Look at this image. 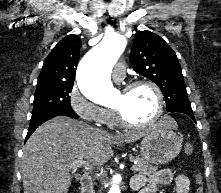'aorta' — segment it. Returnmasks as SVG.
I'll list each match as a JSON object with an SVG mask.
<instances>
[{"label": "aorta", "mask_w": 221, "mask_h": 193, "mask_svg": "<svg viewBox=\"0 0 221 193\" xmlns=\"http://www.w3.org/2000/svg\"><path fill=\"white\" fill-rule=\"evenodd\" d=\"M125 46L123 36L111 34L83 57L77 69V83L89 100L107 104L116 95L109 74ZM120 192L119 176L115 175L108 193Z\"/></svg>", "instance_id": "762f6f07"}]
</instances>
